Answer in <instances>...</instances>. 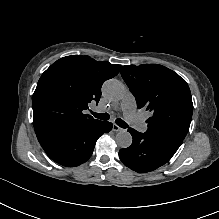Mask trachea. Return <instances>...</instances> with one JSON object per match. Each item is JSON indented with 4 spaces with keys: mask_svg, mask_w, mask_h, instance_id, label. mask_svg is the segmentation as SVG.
<instances>
[{
    "mask_svg": "<svg viewBox=\"0 0 219 219\" xmlns=\"http://www.w3.org/2000/svg\"><path fill=\"white\" fill-rule=\"evenodd\" d=\"M91 114L93 116H95L97 119H101V120H108L110 118V115L108 113H96V112H93L91 111ZM115 123L120 126L121 128H127L128 127V124L125 123L121 118H117L115 120Z\"/></svg>",
    "mask_w": 219,
    "mask_h": 219,
    "instance_id": "3493384b",
    "label": "trachea"
}]
</instances>
